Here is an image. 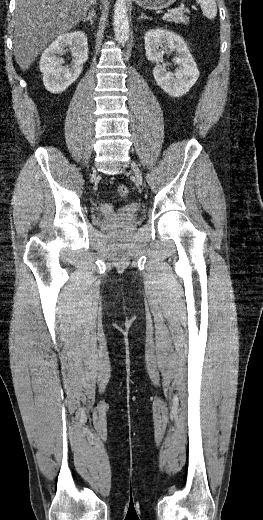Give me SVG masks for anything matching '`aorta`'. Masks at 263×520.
Wrapping results in <instances>:
<instances>
[{
  "label": "aorta",
  "mask_w": 263,
  "mask_h": 520,
  "mask_svg": "<svg viewBox=\"0 0 263 520\" xmlns=\"http://www.w3.org/2000/svg\"><path fill=\"white\" fill-rule=\"evenodd\" d=\"M113 27L116 41L124 46L129 40V18L126 0H116Z\"/></svg>",
  "instance_id": "obj_1"
}]
</instances>
